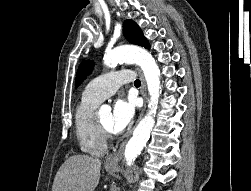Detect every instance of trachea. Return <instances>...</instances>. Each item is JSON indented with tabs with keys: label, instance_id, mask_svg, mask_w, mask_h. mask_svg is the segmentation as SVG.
<instances>
[{
	"label": "trachea",
	"instance_id": "1",
	"mask_svg": "<svg viewBox=\"0 0 251 191\" xmlns=\"http://www.w3.org/2000/svg\"><path fill=\"white\" fill-rule=\"evenodd\" d=\"M134 85H135V86H140V85H141L140 80H135V81H134Z\"/></svg>",
	"mask_w": 251,
	"mask_h": 191
}]
</instances>
